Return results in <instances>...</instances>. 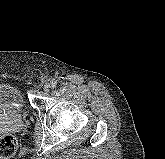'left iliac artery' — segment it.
<instances>
[{"instance_id":"1","label":"left iliac artery","mask_w":165,"mask_h":159,"mask_svg":"<svg viewBox=\"0 0 165 159\" xmlns=\"http://www.w3.org/2000/svg\"><path fill=\"white\" fill-rule=\"evenodd\" d=\"M51 85H52L53 88H55L57 86V82L56 81H52Z\"/></svg>"}]
</instances>
